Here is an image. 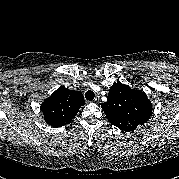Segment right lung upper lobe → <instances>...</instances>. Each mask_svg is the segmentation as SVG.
Masks as SVG:
<instances>
[{
    "label": "right lung upper lobe",
    "mask_w": 179,
    "mask_h": 179,
    "mask_svg": "<svg viewBox=\"0 0 179 179\" xmlns=\"http://www.w3.org/2000/svg\"><path fill=\"white\" fill-rule=\"evenodd\" d=\"M84 104L80 91L61 86L43 101L41 111L46 123L57 128L69 123Z\"/></svg>",
    "instance_id": "right-lung-upper-lobe-1"
}]
</instances>
